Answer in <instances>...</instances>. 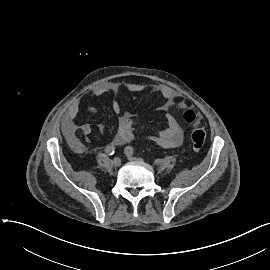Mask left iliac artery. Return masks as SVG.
Returning a JSON list of instances; mask_svg holds the SVG:
<instances>
[{"mask_svg":"<svg viewBox=\"0 0 270 270\" xmlns=\"http://www.w3.org/2000/svg\"><path fill=\"white\" fill-rule=\"evenodd\" d=\"M125 153H128V154H134V149H133V147H131V146H127L126 148H125Z\"/></svg>","mask_w":270,"mask_h":270,"instance_id":"1","label":"left iliac artery"}]
</instances>
